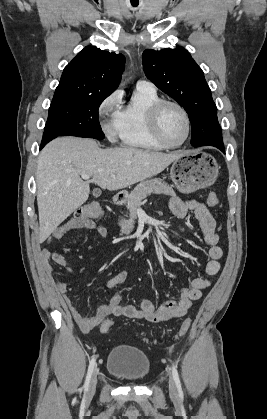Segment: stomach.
Returning <instances> with one entry per match:
<instances>
[{
    "label": "stomach",
    "mask_w": 267,
    "mask_h": 419,
    "mask_svg": "<svg viewBox=\"0 0 267 419\" xmlns=\"http://www.w3.org/2000/svg\"><path fill=\"white\" fill-rule=\"evenodd\" d=\"M218 171L219 166L212 155L193 151L182 154L173 162L170 176L180 192L191 193L211 186L216 181Z\"/></svg>",
    "instance_id": "0dacf381"
}]
</instances>
